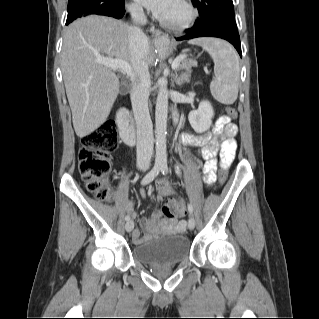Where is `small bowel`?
<instances>
[{
    "instance_id": "small-bowel-1",
    "label": "small bowel",
    "mask_w": 319,
    "mask_h": 319,
    "mask_svg": "<svg viewBox=\"0 0 319 319\" xmlns=\"http://www.w3.org/2000/svg\"><path fill=\"white\" fill-rule=\"evenodd\" d=\"M211 133L205 134H193L187 133L182 136V141L185 145L196 147L199 150V154L205 163L202 165V171L204 174V181L208 184H212L216 181L217 175V162L215 155L220 151V163L224 168H228L234 159L235 151L237 147L236 136L238 128L235 123L232 122L230 116H220L213 127ZM162 187H159L161 186ZM160 195L172 194V190L168 185V182L164 179L157 182ZM140 194L143 198L146 197V189H141ZM175 199L182 206L183 213L180 216H184L186 213V206L184 201L175 197ZM125 210L131 216H136V210L132 201H129L125 205ZM142 227L146 236L143 237L139 230H134L132 240L135 244H140L148 237L161 232L168 231L171 233H184L186 230V222L184 220H157V221H144Z\"/></svg>"
}]
</instances>
